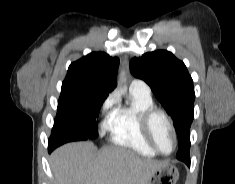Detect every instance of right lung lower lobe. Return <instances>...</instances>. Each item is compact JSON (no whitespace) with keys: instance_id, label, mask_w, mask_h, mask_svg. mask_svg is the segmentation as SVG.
Listing matches in <instances>:
<instances>
[{"instance_id":"right-lung-lower-lobe-1","label":"right lung lower lobe","mask_w":235,"mask_h":184,"mask_svg":"<svg viewBox=\"0 0 235 184\" xmlns=\"http://www.w3.org/2000/svg\"><path fill=\"white\" fill-rule=\"evenodd\" d=\"M61 130H70V127H68L65 123H59L56 119L54 122V127L52 130V135L49 139V143H48V150L49 153L55 149V147L52 145V140L54 139V136L57 132L61 131Z\"/></svg>"}]
</instances>
